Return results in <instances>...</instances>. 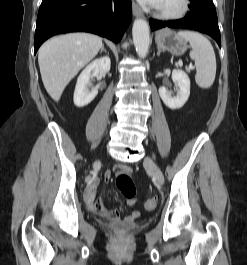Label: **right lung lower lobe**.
I'll return each instance as SVG.
<instances>
[{
    "label": "right lung lower lobe",
    "mask_w": 247,
    "mask_h": 265,
    "mask_svg": "<svg viewBox=\"0 0 247 265\" xmlns=\"http://www.w3.org/2000/svg\"><path fill=\"white\" fill-rule=\"evenodd\" d=\"M132 17L131 0H42L34 53L49 37L84 31L119 42Z\"/></svg>",
    "instance_id": "obj_1"
}]
</instances>
